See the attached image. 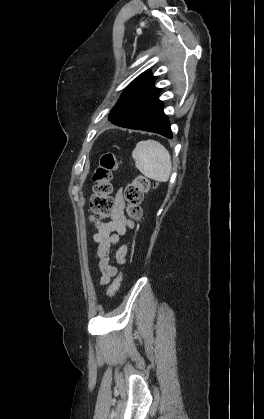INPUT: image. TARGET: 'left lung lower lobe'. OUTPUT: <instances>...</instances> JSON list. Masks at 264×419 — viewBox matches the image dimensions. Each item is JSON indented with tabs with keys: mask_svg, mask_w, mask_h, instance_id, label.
<instances>
[{
	"mask_svg": "<svg viewBox=\"0 0 264 419\" xmlns=\"http://www.w3.org/2000/svg\"><path fill=\"white\" fill-rule=\"evenodd\" d=\"M159 92L158 88L148 87L123 112L109 120L120 127L154 132L171 139L172 132L163 112V102L158 99Z\"/></svg>",
	"mask_w": 264,
	"mask_h": 419,
	"instance_id": "left-lung-lower-lobe-1",
	"label": "left lung lower lobe"
}]
</instances>
